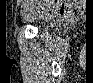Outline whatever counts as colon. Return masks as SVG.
<instances>
[{
    "mask_svg": "<svg viewBox=\"0 0 93 83\" xmlns=\"http://www.w3.org/2000/svg\"><path fill=\"white\" fill-rule=\"evenodd\" d=\"M52 4H56L57 5V11L60 12V11H63L64 10V7L67 6V5H71L73 2H70V1H55V2H50Z\"/></svg>",
    "mask_w": 93,
    "mask_h": 83,
    "instance_id": "1",
    "label": "colon"
}]
</instances>
